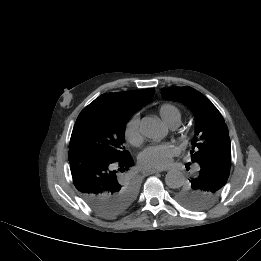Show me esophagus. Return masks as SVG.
Here are the masks:
<instances>
[{
  "label": "esophagus",
  "mask_w": 261,
  "mask_h": 261,
  "mask_svg": "<svg viewBox=\"0 0 261 261\" xmlns=\"http://www.w3.org/2000/svg\"><path fill=\"white\" fill-rule=\"evenodd\" d=\"M161 171H162L161 169H149V170H144L143 174L145 176H148V175H151V174L159 173Z\"/></svg>",
  "instance_id": "esophagus-1"
}]
</instances>
